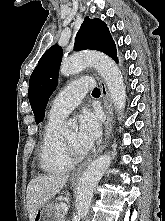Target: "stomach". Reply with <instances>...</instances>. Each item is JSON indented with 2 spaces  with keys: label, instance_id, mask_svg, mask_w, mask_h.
Instances as JSON below:
<instances>
[{
  "label": "stomach",
  "instance_id": "stomach-1",
  "mask_svg": "<svg viewBox=\"0 0 165 221\" xmlns=\"http://www.w3.org/2000/svg\"><path fill=\"white\" fill-rule=\"evenodd\" d=\"M34 221H57L54 207L51 204H45L36 213Z\"/></svg>",
  "mask_w": 165,
  "mask_h": 221
}]
</instances>
